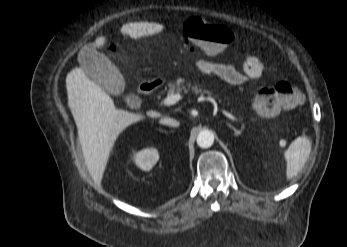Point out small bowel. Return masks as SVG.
<instances>
[{
	"label": "small bowel",
	"instance_id": "obj_1",
	"mask_svg": "<svg viewBox=\"0 0 347 247\" xmlns=\"http://www.w3.org/2000/svg\"><path fill=\"white\" fill-rule=\"evenodd\" d=\"M196 66L203 75L219 77L230 85H242L256 80L263 73V64L255 55H248L245 58L242 70L227 63L207 59L198 60Z\"/></svg>",
	"mask_w": 347,
	"mask_h": 247
}]
</instances>
